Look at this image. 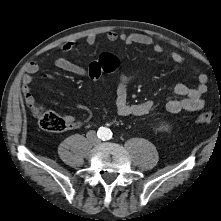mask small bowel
<instances>
[{
  "label": "small bowel",
  "mask_w": 221,
  "mask_h": 221,
  "mask_svg": "<svg viewBox=\"0 0 221 221\" xmlns=\"http://www.w3.org/2000/svg\"><path fill=\"white\" fill-rule=\"evenodd\" d=\"M106 38L110 42H116L121 40L126 44H138L149 46L157 54H165L169 60L175 64H184V58L175 51H165L164 48L156 43L151 37L145 34H118L116 31H108ZM97 42V36L90 34L86 37V43L88 45H94ZM75 47V42L69 40L65 42L61 51L66 53L71 51ZM55 65L68 73L74 74L80 77H90L89 65L82 66L76 64L65 57H58L55 60ZM39 66L35 62H29L26 64V74L22 78V92L26 104L30 107L35 101L30 89V84L32 83V75L38 73ZM53 77L49 74L42 76V79L49 80ZM132 77L128 75H122L120 77L119 83L116 89V109L119 115L128 116H143L148 114L154 107V103L151 100H146L140 103H130L128 101V85L132 81ZM198 84L196 86H189L184 83L177 84L174 88V94L177 98L172 99L167 102L166 109L170 113H180L182 111L195 112L199 111L204 107V100L202 95L207 91L208 77L203 73H198L197 75ZM65 120L68 123V128H75L80 125L78 121L74 119L71 115H65Z\"/></svg>",
  "instance_id": "1"
}]
</instances>
